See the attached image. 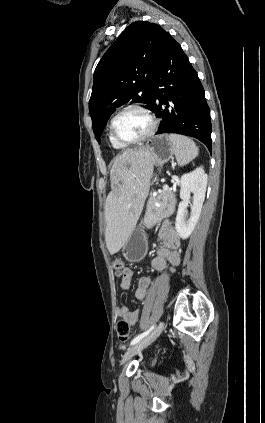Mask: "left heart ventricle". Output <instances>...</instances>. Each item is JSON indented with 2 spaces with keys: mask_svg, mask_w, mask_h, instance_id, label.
<instances>
[{
  "mask_svg": "<svg viewBox=\"0 0 265 423\" xmlns=\"http://www.w3.org/2000/svg\"><path fill=\"white\" fill-rule=\"evenodd\" d=\"M150 127L149 119L141 112L130 110L121 114L115 121L116 135L126 141L143 136Z\"/></svg>",
  "mask_w": 265,
  "mask_h": 423,
  "instance_id": "left-heart-ventricle-1",
  "label": "left heart ventricle"
}]
</instances>
